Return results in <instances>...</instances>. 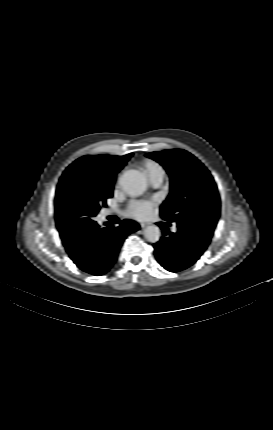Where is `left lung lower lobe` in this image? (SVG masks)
I'll list each match as a JSON object with an SVG mask.
<instances>
[{"mask_svg":"<svg viewBox=\"0 0 273 430\" xmlns=\"http://www.w3.org/2000/svg\"><path fill=\"white\" fill-rule=\"evenodd\" d=\"M158 225L163 230V237L153 244L156 259L170 272H178L193 265L207 249L208 244L187 226L178 224V231L173 233L163 223Z\"/></svg>","mask_w":273,"mask_h":430,"instance_id":"0a47b994","label":"left lung lower lobe"}]
</instances>
